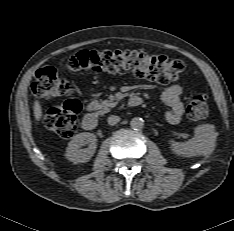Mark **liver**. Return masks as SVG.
I'll return each mask as SVG.
<instances>
[{"instance_id": "6515ba94", "label": "liver", "mask_w": 234, "mask_h": 231, "mask_svg": "<svg viewBox=\"0 0 234 231\" xmlns=\"http://www.w3.org/2000/svg\"><path fill=\"white\" fill-rule=\"evenodd\" d=\"M33 109H34V116H35L36 121H40L42 117V108L38 100L34 102Z\"/></svg>"}]
</instances>
